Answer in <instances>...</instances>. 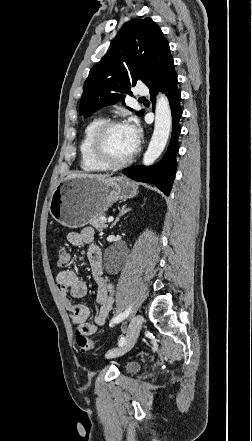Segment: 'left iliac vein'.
<instances>
[{
    "label": "left iliac vein",
    "instance_id": "obj_1",
    "mask_svg": "<svg viewBox=\"0 0 252 441\" xmlns=\"http://www.w3.org/2000/svg\"><path fill=\"white\" fill-rule=\"evenodd\" d=\"M142 323H143L142 315L138 314V315L134 316L129 324V327H128V330L126 333L125 344L119 348H114V349L109 350L105 354L106 358H115V357L124 355L125 353L130 351L139 336V333H140V330L142 327Z\"/></svg>",
    "mask_w": 252,
    "mask_h": 441
}]
</instances>
